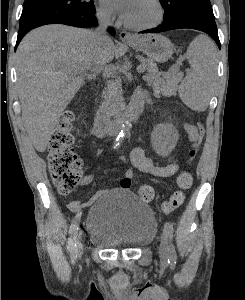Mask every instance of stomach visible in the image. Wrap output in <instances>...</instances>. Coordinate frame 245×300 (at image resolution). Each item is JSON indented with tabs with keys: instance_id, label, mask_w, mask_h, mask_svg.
I'll return each mask as SVG.
<instances>
[{
	"instance_id": "1",
	"label": "stomach",
	"mask_w": 245,
	"mask_h": 300,
	"mask_svg": "<svg viewBox=\"0 0 245 300\" xmlns=\"http://www.w3.org/2000/svg\"><path fill=\"white\" fill-rule=\"evenodd\" d=\"M128 44L134 49L143 52L152 61L159 63H164L170 59L174 50L171 41L159 34L145 35Z\"/></svg>"
}]
</instances>
